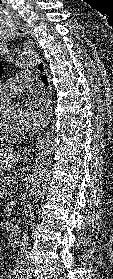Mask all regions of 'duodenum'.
I'll return each mask as SVG.
<instances>
[{"label":"duodenum","instance_id":"duodenum-1","mask_svg":"<svg viewBox=\"0 0 113 279\" xmlns=\"http://www.w3.org/2000/svg\"><path fill=\"white\" fill-rule=\"evenodd\" d=\"M21 237V227L18 223H14L10 228V239L14 244H18L20 242Z\"/></svg>","mask_w":113,"mask_h":279}]
</instances>
